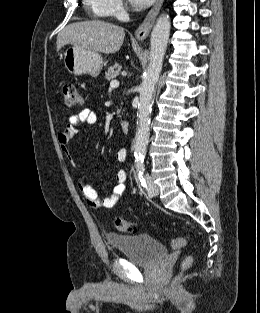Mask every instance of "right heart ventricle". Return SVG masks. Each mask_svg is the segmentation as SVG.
<instances>
[{"label": "right heart ventricle", "instance_id": "obj_1", "mask_svg": "<svg viewBox=\"0 0 260 313\" xmlns=\"http://www.w3.org/2000/svg\"><path fill=\"white\" fill-rule=\"evenodd\" d=\"M86 7L97 17H105L107 15L104 0H84Z\"/></svg>", "mask_w": 260, "mask_h": 313}]
</instances>
